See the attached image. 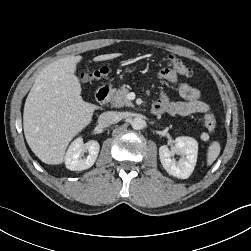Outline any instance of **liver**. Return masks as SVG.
I'll list each match as a JSON object with an SVG mask.
<instances>
[{"instance_id": "liver-1", "label": "liver", "mask_w": 251, "mask_h": 251, "mask_svg": "<svg viewBox=\"0 0 251 251\" xmlns=\"http://www.w3.org/2000/svg\"><path fill=\"white\" fill-rule=\"evenodd\" d=\"M120 53L104 54L94 61L111 60ZM81 56H68L46 66L36 77L27 96L23 127L33 153L46 164H61L69 142L92 120L97 105L81 97L75 75Z\"/></svg>"}]
</instances>
